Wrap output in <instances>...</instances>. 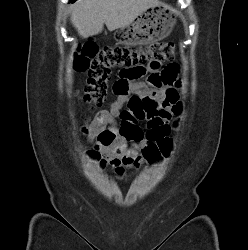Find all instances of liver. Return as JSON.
<instances>
[{
    "instance_id": "obj_1",
    "label": "liver",
    "mask_w": 248,
    "mask_h": 250,
    "mask_svg": "<svg viewBox=\"0 0 248 250\" xmlns=\"http://www.w3.org/2000/svg\"><path fill=\"white\" fill-rule=\"evenodd\" d=\"M159 0H77L70 6V21L83 38L125 27Z\"/></svg>"
}]
</instances>
